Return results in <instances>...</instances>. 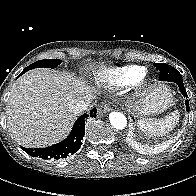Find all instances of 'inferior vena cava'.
<instances>
[{"label":"inferior vena cava","instance_id":"inferior-vena-cava-1","mask_svg":"<svg viewBox=\"0 0 196 196\" xmlns=\"http://www.w3.org/2000/svg\"><path fill=\"white\" fill-rule=\"evenodd\" d=\"M91 103V99H76L74 100L71 109L74 113L79 114L86 111Z\"/></svg>","mask_w":196,"mask_h":196}]
</instances>
